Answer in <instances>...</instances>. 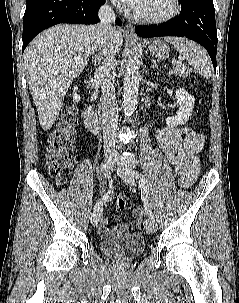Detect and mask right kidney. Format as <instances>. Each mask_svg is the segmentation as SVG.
I'll return each mask as SVG.
<instances>
[{"label": "right kidney", "mask_w": 239, "mask_h": 303, "mask_svg": "<svg viewBox=\"0 0 239 303\" xmlns=\"http://www.w3.org/2000/svg\"><path fill=\"white\" fill-rule=\"evenodd\" d=\"M77 86H74L73 88V102L78 103L80 101V96L77 94Z\"/></svg>", "instance_id": "ca27d5eb"}]
</instances>
